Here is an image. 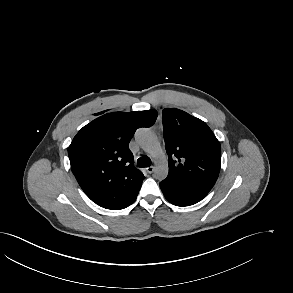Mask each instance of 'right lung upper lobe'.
<instances>
[{"instance_id":"cb5924a9","label":"right lung upper lobe","mask_w":293,"mask_h":293,"mask_svg":"<svg viewBox=\"0 0 293 293\" xmlns=\"http://www.w3.org/2000/svg\"><path fill=\"white\" fill-rule=\"evenodd\" d=\"M156 110L113 112L84 126L68 147L71 170L97 205L120 210L131 205L144 175L133 165L129 142L136 129L150 127Z\"/></svg>"}]
</instances>
